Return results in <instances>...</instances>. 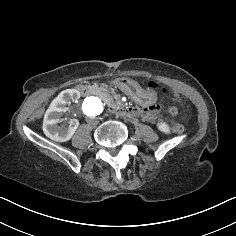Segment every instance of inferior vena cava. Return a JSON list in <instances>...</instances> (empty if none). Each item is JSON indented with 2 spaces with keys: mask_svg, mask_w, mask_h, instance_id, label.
<instances>
[{
  "mask_svg": "<svg viewBox=\"0 0 236 236\" xmlns=\"http://www.w3.org/2000/svg\"><path fill=\"white\" fill-rule=\"evenodd\" d=\"M85 122H87V124L89 125H95V124H99V119H90V117H85Z\"/></svg>",
  "mask_w": 236,
  "mask_h": 236,
  "instance_id": "inferior-vena-cava-1",
  "label": "inferior vena cava"
}]
</instances>
